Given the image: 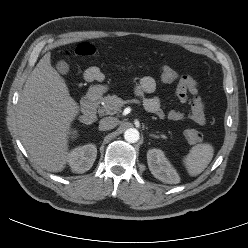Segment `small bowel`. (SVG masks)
<instances>
[{
    "label": "small bowel",
    "mask_w": 248,
    "mask_h": 248,
    "mask_svg": "<svg viewBox=\"0 0 248 248\" xmlns=\"http://www.w3.org/2000/svg\"><path fill=\"white\" fill-rule=\"evenodd\" d=\"M84 78L89 82H100L104 80V74L98 67H89L84 72ZM156 90V81L151 76L141 78L135 91L142 98L144 108L160 118H168L172 121H183L189 119L196 124L203 125L206 121L205 104L199 96L198 84L190 75L181 76L180 82L176 85V95L183 104H188L190 111L185 114L180 110L165 111L157 96H152ZM190 94V95H189Z\"/></svg>",
    "instance_id": "obj_1"
}]
</instances>
